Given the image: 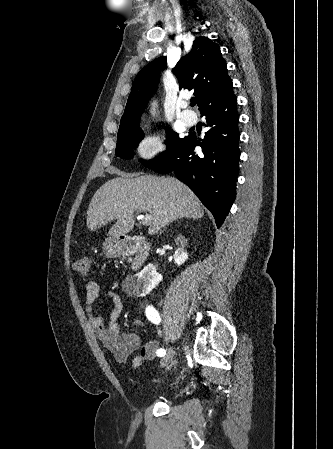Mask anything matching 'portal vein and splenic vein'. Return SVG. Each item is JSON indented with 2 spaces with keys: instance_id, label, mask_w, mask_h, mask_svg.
Instances as JSON below:
<instances>
[{
  "instance_id": "obj_1",
  "label": "portal vein and splenic vein",
  "mask_w": 333,
  "mask_h": 449,
  "mask_svg": "<svg viewBox=\"0 0 333 449\" xmlns=\"http://www.w3.org/2000/svg\"><path fill=\"white\" fill-rule=\"evenodd\" d=\"M141 221H142L143 225H149L152 221V216L149 214H146L145 216H142Z\"/></svg>"
}]
</instances>
